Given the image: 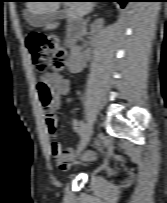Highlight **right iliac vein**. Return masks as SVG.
<instances>
[{
	"label": "right iliac vein",
	"mask_w": 167,
	"mask_h": 203,
	"mask_svg": "<svg viewBox=\"0 0 167 203\" xmlns=\"http://www.w3.org/2000/svg\"><path fill=\"white\" fill-rule=\"evenodd\" d=\"M92 133H93V127L91 124H88L86 130L82 135L81 142L78 146V150H77L78 153H81L85 149L86 145L91 139Z\"/></svg>",
	"instance_id": "obj_1"
}]
</instances>
